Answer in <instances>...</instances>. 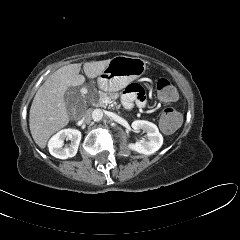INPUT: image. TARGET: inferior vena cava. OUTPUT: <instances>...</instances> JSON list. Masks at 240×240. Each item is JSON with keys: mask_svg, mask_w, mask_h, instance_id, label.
I'll return each mask as SVG.
<instances>
[{"mask_svg": "<svg viewBox=\"0 0 240 240\" xmlns=\"http://www.w3.org/2000/svg\"><path fill=\"white\" fill-rule=\"evenodd\" d=\"M82 121L85 122V123H90L91 121V114L89 111H87L83 117H82Z\"/></svg>", "mask_w": 240, "mask_h": 240, "instance_id": "602c4592", "label": "inferior vena cava"}]
</instances>
